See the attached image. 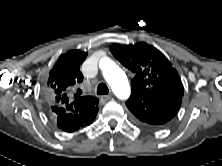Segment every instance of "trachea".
Returning a JSON list of instances; mask_svg holds the SVG:
<instances>
[{
	"label": "trachea",
	"mask_w": 222,
	"mask_h": 166,
	"mask_svg": "<svg viewBox=\"0 0 222 166\" xmlns=\"http://www.w3.org/2000/svg\"><path fill=\"white\" fill-rule=\"evenodd\" d=\"M109 89L105 83H100L97 87V94L98 95H105L108 94Z\"/></svg>",
	"instance_id": "trachea-1"
}]
</instances>
